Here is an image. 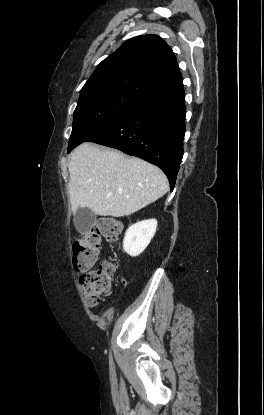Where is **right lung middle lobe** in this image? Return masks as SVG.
<instances>
[{
    "mask_svg": "<svg viewBox=\"0 0 264 415\" xmlns=\"http://www.w3.org/2000/svg\"><path fill=\"white\" fill-rule=\"evenodd\" d=\"M142 99L138 95L121 91L80 97L73 114L68 152L87 141L94 133L113 122Z\"/></svg>",
    "mask_w": 264,
    "mask_h": 415,
    "instance_id": "obj_1",
    "label": "right lung middle lobe"
}]
</instances>
